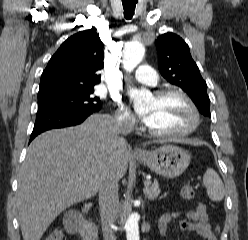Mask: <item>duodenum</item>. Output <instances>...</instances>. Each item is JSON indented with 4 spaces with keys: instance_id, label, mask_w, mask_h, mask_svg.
I'll list each match as a JSON object with an SVG mask.
<instances>
[{
    "instance_id": "1",
    "label": "duodenum",
    "mask_w": 248,
    "mask_h": 240,
    "mask_svg": "<svg viewBox=\"0 0 248 240\" xmlns=\"http://www.w3.org/2000/svg\"><path fill=\"white\" fill-rule=\"evenodd\" d=\"M89 206H83L79 210L78 219L75 222V227L82 235L83 240H98V233L94 226H92L84 217L88 211Z\"/></svg>"
}]
</instances>
